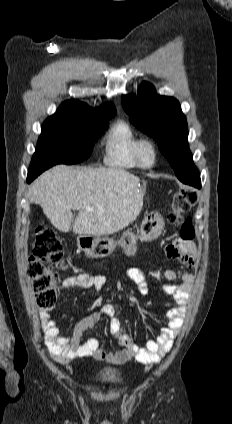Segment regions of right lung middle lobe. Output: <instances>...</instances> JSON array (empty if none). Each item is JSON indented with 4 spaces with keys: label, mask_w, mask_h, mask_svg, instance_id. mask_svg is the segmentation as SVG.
Returning <instances> with one entry per match:
<instances>
[{
    "label": "right lung middle lobe",
    "mask_w": 232,
    "mask_h": 424,
    "mask_svg": "<svg viewBox=\"0 0 232 424\" xmlns=\"http://www.w3.org/2000/svg\"><path fill=\"white\" fill-rule=\"evenodd\" d=\"M92 120L81 116L55 113L42 127L28 176H37L53 165L74 164L86 160L95 141L109 126L107 120Z\"/></svg>",
    "instance_id": "dd1d6c3e"
}]
</instances>
